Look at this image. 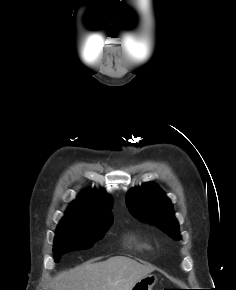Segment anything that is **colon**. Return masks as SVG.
Segmentation results:
<instances>
[{
    "label": "colon",
    "mask_w": 236,
    "mask_h": 290,
    "mask_svg": "<svg viewBox=\"0 0 236 290\" xmlns=\"http://www.w3.org/2000/svg\"><path fill=\"white\" fill-rule=\"evenodd\" d=\"M163 290H175V289H163Z\"/></svg>",
    "instance_id": "obj_1"
}]
</instances>
